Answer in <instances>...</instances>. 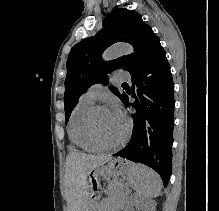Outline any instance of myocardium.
I'll return each mask as SVG.
<instances>
[{"instance_id": "f54148a6", "label": "myocardium", "mask_w": 219, "mask_h": 211, "mask_svg": "<svg viewBox=\"0 0 219 211\" xmlns=\"http://www.w3.org/2000/svg\"><path fill=\"white\" fill-rule=\"evenodd\" d=\"M103 108H107V106L105 104H97L94 105L92 107V109L90 110L89 116H88V129L89 132L92 136V138L101 146L105 147V148H116L122 144H124L129 136V131H130V122L126 121V127H125V131L123 133V135L115 142H110L108 140H106L104 137L101 136V134L99 133L97 126H96V115L98 113L99 110L103 109Z\"/></svg>"}]
</instances>
